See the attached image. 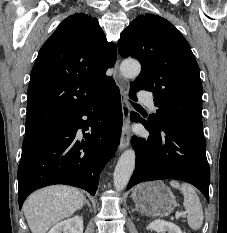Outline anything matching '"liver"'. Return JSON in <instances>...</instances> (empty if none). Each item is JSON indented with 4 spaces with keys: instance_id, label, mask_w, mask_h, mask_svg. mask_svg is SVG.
<instances>
[{
    "instance_id": "liver-1",
    "label": "liver",
    "mask_w": 227,
    "mask_h": 233,
    "mask_svg": "<svg viewBox=\"0 0 227 233\" xmlns=\"http://www.w3.org/2000/svg\"><path fill=\"white\" fill-rule=\"evenodd\" d=\"M85 201L76 188L55 185L31 194L23 205V212L32 233L47 231L81 209Z\"/></svg>"
}]
</instances>
